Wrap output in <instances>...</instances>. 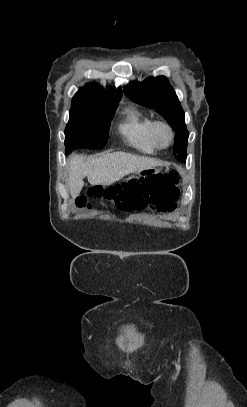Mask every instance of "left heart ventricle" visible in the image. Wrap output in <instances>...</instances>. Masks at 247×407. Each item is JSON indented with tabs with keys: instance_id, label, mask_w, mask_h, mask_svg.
<instances>
[{
	"instance_id": "obj_1",
	"label": "left heart ventricle",
	"mask_w": 247,
	"mask_h": 407,
	"mask_svg": "<svg viewBox=\"0 0 247 407\" xmlns=\"http://www.w3.org/2000/svg\"><path fill=\"white\" fill-rule=\"evenodd\" d=\"M158 137H159L160 142H161L163 145H167V144H168V142H169V134H168V132L166 131V129L161 128V129L159 130V132H158Z\"/></svg>"
}]
</instances>
